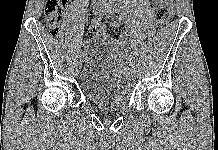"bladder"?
<instances>
[{
    "label": "bladder",
    "instance_id": "31cf9c89",
    "mask_svg": "<svg viewBox=\"0 0 218 150\" xmlns=\"http://www.w3.org/2000/svg\"><path fill=\"white\" fill-rule=\"evenodd\" d=\"M118 60L114 43L105 38H94L87 46L79 81L85 97L96 106L120 109L129 101L131 86Z\"/></svg>",
    "mask_w": 218,
    "mask_h": 150
}]
</instances>
